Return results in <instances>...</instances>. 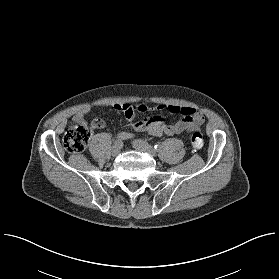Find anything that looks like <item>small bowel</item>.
Masks as SVG:
<instances>
[{"label": "small bowel", "instance_id": "obj_1", "mask_svg": "<svg viewBox=\"0 0 279 279\" xmlns=\"http://www.w3.org/2000/svg\"><path fill=\"white\" fill-rule=\"evenodd\" d=\"M139 113H147L150 108L145 104H139ZM115 108L122 112L125 117L131 122V127L135 132H148L155 136H173L184 132H192L199 130L200 126L204 123V115L202 112L192 108L179 107L175 105L157 104L156 109L159 111H167L171 114L180 115L179 120L174 124H167L165 116L156 114L143 120L136 121L135 113L132 111V106L129 104H117ZM89 107L81 108L73 117V123L85 122V115L89 112ZM93 121L98 123L93 124L94 128L101 129L105 127V121L96 118ZM92 121V122H93ZM134 136L132 132H120L118 138L127 140Z\"/></svg>", "mask_w": 279, "mask_h": 279}]
</instances>
